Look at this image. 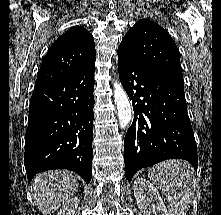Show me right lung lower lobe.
<instances>
[{"label":"right lung lower lobe","mask_w":221,"mask_h":215,"mask_svg":"<svg viewBox=\"0 0 221 215\" xmlns=\"http://www.w3.org/2000/svg\"><path fill=\"white\" fill-rule=\"evenodd\" d=\"M94 62L69 78L34 88L25 134L28 181L37 173L65 168L90 182Z\"/></svg>","instance_id":"right-lung-lower-lobe-1"}]
</instances>
